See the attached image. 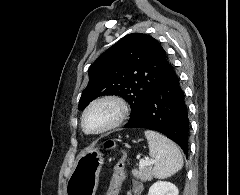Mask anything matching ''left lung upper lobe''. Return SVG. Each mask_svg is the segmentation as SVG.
Listing matches in <instances>:
<instances>
[{
  "instance_id": "1",
  "label": "left lung upper lobe",
  "mask_w": 240,
  "mask_h": 195,
  "mask_svg": "<svg viewBox=\"0 0 240 195\" xmlns=\"http://www.w3.org/2000/svg\"><path fill=\"white\" fill-rule=\"evenodd\" d=\"M169 66L166 52L156 39L141 33L128 34L89 68V82L79 100V110L99 96L118 95L130 104L131 120L152 88L166 76Z\"/></svg>"
}]
</instances>
